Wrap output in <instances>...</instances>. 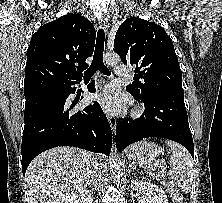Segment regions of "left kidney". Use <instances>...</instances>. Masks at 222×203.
<instances>
[{
	"instance_id": "1",
	"label": "left kidney",
	"mask_w": 222,
	"mask_h": 203,
	"mask_svg": "<svg viewBox=\"0 0 222 203\" xmlns=\"http://www.w3.org/2000/svg\"><path fill=\"white\" fill-rule=\"evenodd\" d=\"M131 187L142 196V203H168L166 192L158 185L143 180H133Z\"/></svg>"
}]
</instances>
